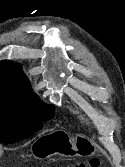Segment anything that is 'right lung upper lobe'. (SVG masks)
I'll return each mask as SVG.
<instances>
[{"label": "right lung upper lobe", "instance_id": "right-lung-upper-lobe-1", "mask_svg": "<svg viewBox=\"0 0 125 167\" xmlns=\"http://www.w3.org/2000/svg\"><path fill=\"white\" fill-rule=\"evenodd\" d=\"M0 96L18 99L36 97L19 64L9 60L0 62Z\"/></svg>", "mask_w": 125, "mask_h": 167}]
</instances>
